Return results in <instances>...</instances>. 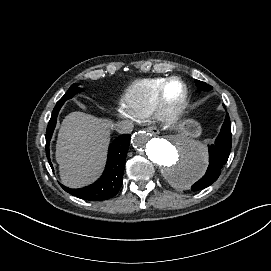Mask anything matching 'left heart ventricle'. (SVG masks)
Here are the masks:
<instances>
[{"label":"left heart ventricle","instance_id":"left-heart-ventricle-1","mask_svg":"<svg viewBox=\"0 0 271 271\" xmlns=\"http://www.w3.org/2000/svg\"><path fill=\"white\" fill-rule=\"evenodd\" d=\"M183 92H184V87L178 81L173 82L170 85L169 90H168V93H169L170 97H172V98L180 97L183 94Z\"/></svg>","mask_w":271,"mask_h":271}]
</instances>
